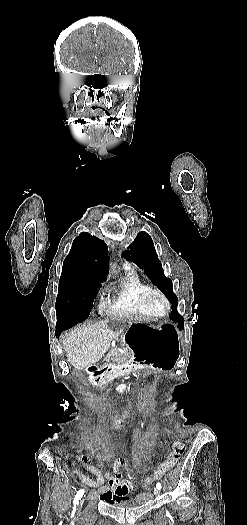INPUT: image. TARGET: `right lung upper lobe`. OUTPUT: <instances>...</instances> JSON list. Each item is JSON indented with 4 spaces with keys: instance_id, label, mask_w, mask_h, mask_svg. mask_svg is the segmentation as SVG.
I'll return each mask as SVG.
<instances>
[{
    "instance_id": "cb5924a9",
    "label": "right lung upper lobe",
    "mask_w": 247,
    "mask_h": 525,
    "mask_svg": "<svg viewBox=\"0 0 247 525\" xmlns=\"http://www.w3.org/2000/svg\"><path fill=\"white\" fill-rule=\"evenodd\" d=\"M62 272H86L98 276L108 273V247L103 240L82 232L73 241L63 262Z\"/></svg>"
}]
</instances>
